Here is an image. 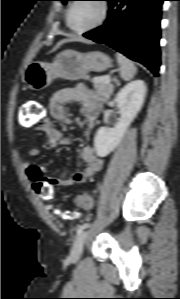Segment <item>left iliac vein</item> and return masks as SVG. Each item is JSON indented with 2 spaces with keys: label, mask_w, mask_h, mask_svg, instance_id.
Masks as SVG:
<instances>
[{
  "label": "left iliac vein",
  "mask_w": 180,
  "mask_h": 299,
  "mask_svg": "<svg viewBox=\"0 0 180 299\" xmlns=\"http://www.w3.org/2000/svg\"><path fill=\"white\" fill-rule=\"evenodd\" d=\"M88 234L89 231H83L76 238L70 253V260L72 262H77L80 259Z\"/></svg>",
  "instance_id": "4c4485c4"
}]
</instances>
